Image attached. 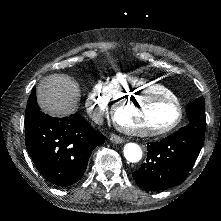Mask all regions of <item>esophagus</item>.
<instances>
[{
	"label": "esophagus",
	"instance_id": "1",
	"mask_svg": "<svg viewBox=\"0 0 221 221\" xmlns=\"http://www.w3.org/2000/svg\"><path fill=\"white\" fill-rule=\"evenodd\" d=\"M110 141L113 143H118V144L125 142V140L123 138H121L120 136L115 135V134L110 135Z\"/></svg>",
	"mask_w": 221,
	"mask_h": 221
}]
</instances>
